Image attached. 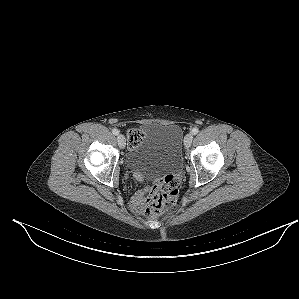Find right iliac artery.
Masks as SVG:
<instances>
[{
  "label": "right iliac artery",
  "instance_id": "obj_1",
  "mask_svg": "<svg viewBox=\"0 0 299 299\" xmlns=\"http://www.w3.org/2000/svg\"><path fill=\"white\" fill-rule=\"evenodd\" d=\"M112 133H113L114 135H118L119 131H118V129L114 128V129L112 130Z\"/></svg>",
  "mask_w": 299,
  "mask_h": 299
}]
</instances>
